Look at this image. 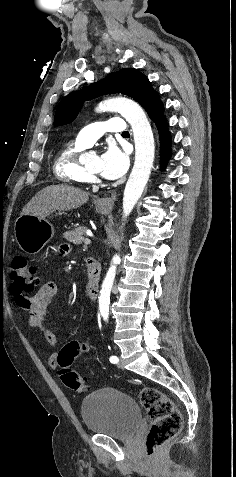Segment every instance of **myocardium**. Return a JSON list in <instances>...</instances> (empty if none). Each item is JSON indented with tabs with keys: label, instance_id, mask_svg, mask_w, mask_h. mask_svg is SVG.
Returning <instances> with one entry per match:
<instances>
[{
	"label": "myocardium",
	"instance_id": "f54148a6",
	"mask_svg": "<svg viewBox=\"0 0 236 477\" xmlns=\"http://www.w3.org/2000/svg\"><path fill=\"white\" fill-rule=\"evenodd\" d=\"M85 170L90 180H93V181L99 180V174L97 172L91 170L88 166L85 167Z\"/></svg>",
	"mask_w": 236,
	"mask_h": 477
}]
</instances>
